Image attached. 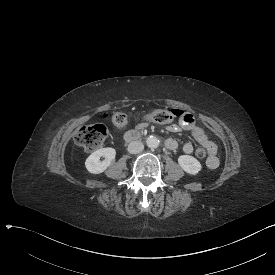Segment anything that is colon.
Segmentation results:
<instances>
[{
	"label": "colon",
	"instance_id": "obj_1",
	"mask_svg": "<svg viewBox=\"0 0 275 275\" xmlns=\"http://www.w3.org/2000/svg\"><path fill=\"white\" fill-rule=\"evenodd\" d=\"M145 119L155 124H169L174 121V114L169 110L151 111L146 115ZM113 121L121 125L125 120L121 113H117ZM107 135V129L102 125H85L78 130L76 139L84 150L95 151L102 147ZM195 155L197 158L203 159L206 157V150L203 147H198L195 150Z\"/></svg>",
	"mask_w": 275,
	"mask_h": 275
}]
</instances>
